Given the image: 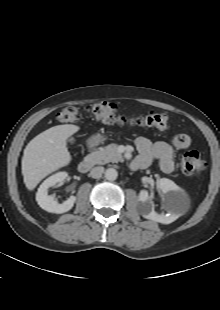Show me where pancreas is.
I'll return each mask as SVG.
<instances>
[{
	"label": "pancreas",
	"mask_w": 220,
	"mask_h": 310,
	"mask_svg": "<svg viewBox=\"0 0 220 310\" xmlns=\"http://www.w3.org/2000/svg\"><path fill=\"white\" fill-rule=\"evenodd\" d=\"M117 144H109L105 147H101L98 150L88 155L95 164H106L109 162L123 161L122 155L117 150Z\"/></svg>",
	"instance_id": "cf45deb5"
}]
</instances>
